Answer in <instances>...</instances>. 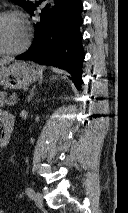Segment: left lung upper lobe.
Masks as SVG:
<instances>
[{
	"label": "left lung upper lobe",
	"instance_id": "5c2ea615",
	"mask_svg": "<svg viewBox=\"0 0 128 213\" xmlns=\"http://www.w3.org/2000/svg\"><path fill=\"white\" fill-rule=\"evenodd\" d=\"M14 1L20 6H22L24 9H26L27 11H29L30 8L33 6L32 2H27L26 0H14Z\"/></svg>",
	"mask_w": 128,
	"mask_h": 213
}]
</instances>
